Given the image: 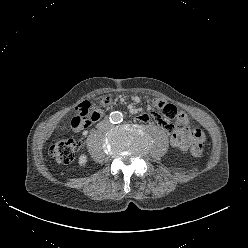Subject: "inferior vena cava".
Masks as SVG:
<instances>
[{
	"label": "inferior vena cava",
	"instance_id": "obj_1",
	"mask_svg": "<svg viewBox=\"0 0 248 248\" xmlns=\"http://www.w3.org/2000/svg\"><path fill=\"white\" fill-rule=\"evenodd\" d=\"M103 124L108 125V126L111 125L109 121H104Z\"/></svg>",
	"mask_w": 248,
	"mask_h": 248
}]
</instances>
